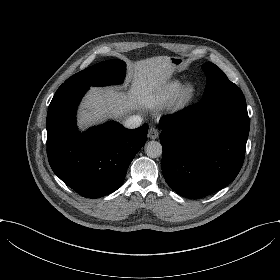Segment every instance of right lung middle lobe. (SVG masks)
<instances>
[{
    "label": "right lung middle lobe",
    "instance_id": "right-lung-middle-lobe-1",
    "mask_svg": "<svg viewBox=\"0 0 280 280\" xmlns=\"http://www.w3.org/2000/svg\"><path fill=\"white\" fill-rule=\"evenodd\" d=\"M126 74V64L122 60H108L76 73L62 85L106 86L120 84Z\"/></svg>",
    "mask_w": 280,
    "mask_h": 280
}]
</instances>
